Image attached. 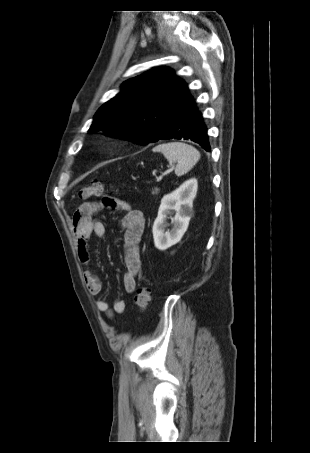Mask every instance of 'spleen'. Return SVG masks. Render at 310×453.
<instances>
[{"instance_id": "obj_1", "label": "spleen", "mask_w": 310, "mask_h": 453, "mask_svg": "<svg viewBox=\"0 0 310 453\" xmlns=\"http://www.w3.org/2000/svg\"><path fill=\"white\" fill-rule=\"evenodd\" d=\"M153 152H161L169 162H177V176L189 172L200 159V152L195 147L182 142L159 144L153 148Z\"/></svg>"}]
</instances>
